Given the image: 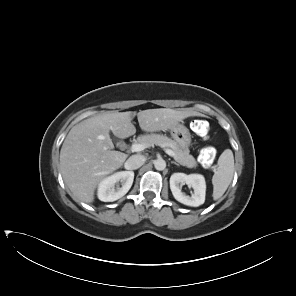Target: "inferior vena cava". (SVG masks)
I'll return each instance as SVG.
<instances>
[{
	"label": "inferior vena cava",
	"mask_w": 296,
	"mask_h": 296,
	"mask_svg": "<svg viewBox=\"0 0 296 296\" xmlns=\"http://www.w3.org/2000/svg\"><path fill=\"white\" fill-rule=\"evenodd\" d=\"M145 163V157L139 154L132 155L125 162V167L128 170H135L140 168Z\"/></svg>",
	"instance_id": "602c4592"
}]
</instances>
